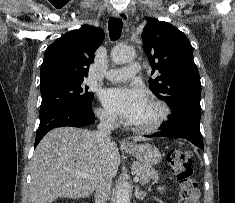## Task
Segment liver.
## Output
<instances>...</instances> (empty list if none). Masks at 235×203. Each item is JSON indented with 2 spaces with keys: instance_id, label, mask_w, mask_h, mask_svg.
Listing matches in <instances>:
<instances>
[{
  "instance_id": "liver-1",
  "label": "liver",
  "mask_w": 235,
  "mask_h": 203,
  "mask_svg": "<svg viewBox=\"0 0 235 203\" xmlns=\"http://www.w3.org/2000/svg\"><path fill=\"white\" fill-rule=\"evenodd\" d=\"M119 163L115 142L103 144L95 132L81 128H55L44 136L31 160L32 203L88 197L104 174L111 179L116 176ZM74 172L87 177H77Z\"/></svg>"
}]
</instances>
